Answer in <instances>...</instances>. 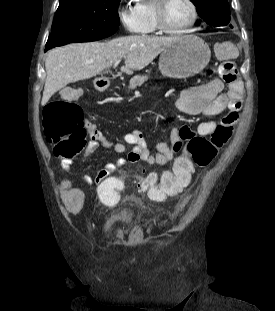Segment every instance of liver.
Returning a JSON list of instances; mask_svg holds the SVG:
<instances>
[{"label": "liver", "instance_id": "1", "mask_svg": "<svg viewBox=\"0 0 275 311\" xmlns=\"http://www.w3.org/2000/svg\"><path fill=\"white\" fill-rule=\"evenodd\" d=\"M177 37L132 35L107 43L70 44L51 50L46 58V81L42 97L45 105L69 83L89 79L125 58L121 71L132 74L149 65Z\"/></svg>", "mask_w": 275, "mask_h": 311}]
</instances>
